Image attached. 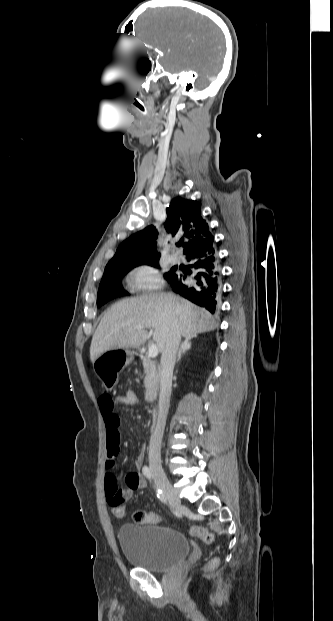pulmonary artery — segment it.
Masks as SVG:
<instances>
[{"label":"pulmonary artery","mask_w":333,"mask_h":621,"mask_svg":"<svg viewBox=\"0 0 333 621\" xmlns=\"http://www.w3.org/2000/svg\"><path fill=\"white\" fill-rule=\"evenodd\" d=\"M169 259L172 263H178L180 261V257L176 253L171 254Z\"/></svg>","instance_id":"obj_1"}]
</instances>
